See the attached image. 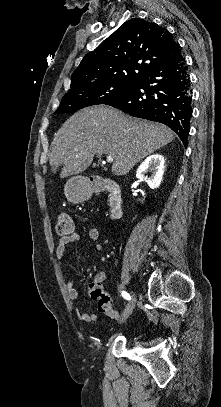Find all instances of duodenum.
<instances>
[{"mask_svg": "<svg viewBox=\"0 0 221 407\" xmlns=\"http://www.w3.org/2000/svg\"><path fill=\"white\" fill-rule=\"evenodd\" d=\"M90 188L96 193L107 192L109 194V218L111 220L122 216V194L119 184L115 182L91 183Z\"/></svg>", "mask_w": 221, "mask_h": 407, "instance_id": "1", "label": "duodenum"}]
</instances>
